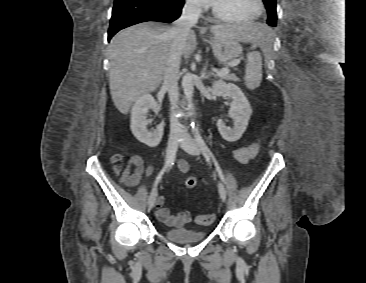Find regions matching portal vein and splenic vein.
I'll return each mask as SVG.
<instances>
[{"instance_id":"18ae733b","label":"portal vein and splenic vein","mask_w":366,"mask_h":283,"mask_svg":"<svg viewBox=\"0 0 366 283\" xmlns=\"http://www.w3.org/2000/svg\"><path fill=\"white\" fill-rule=\"evenodd\" d=\"M239 63H240V60H234V61L230 62L229 66H231V67H235V66H237ZM229 72H230L229 67H225V68H223L222 70L218 71V72H217V75H218V76H220V77H222V76H225V75L229 74Z\"/></svg>"}]
</instances>
